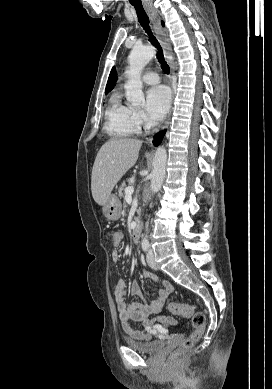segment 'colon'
I'll return each mask as SVG.
<instances>
[{"label":"colon","mask_w":272,"mask_h":389,"mask_svg":"<svg viewBox=\"0 0 272 389\" xmlns=\"http://www.w3.org/2000/svg\"><path fill=\"white\" fill-rule=\"evenodd\" d=\"M109 237L114 246H119L122 242V235L119 232H110ZM168 309L175 315L192 317L193 331L170 357L171 363L177 365L191 352L194 344L202 337L205 329V315L201 312L194 313L193 307L184 303L171 302Z\"/></svg>","instance_id":"colon-1"}]
</instances>
